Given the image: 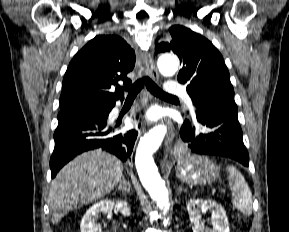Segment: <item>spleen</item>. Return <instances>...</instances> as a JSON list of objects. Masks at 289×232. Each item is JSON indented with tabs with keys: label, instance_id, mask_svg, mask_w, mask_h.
Segmentation results:
<instances>
[{
	"label": "spleen",
	"instance_id": "obj_1",
	"mask_svg": "<svg viewBox=\"0 0 289 232\" xmlns=\"http://www.w3.org/2000/svg\"><path fill=\"white\" fill-rule=\"evenodd\" d=\"M229 187L235 194L232 199V204L245 216H250L252 213V193L240 171L234 166H227Z\"/></svg>",
	"mask_w": 289,
	"mask_h": 232
}]
</instances>
